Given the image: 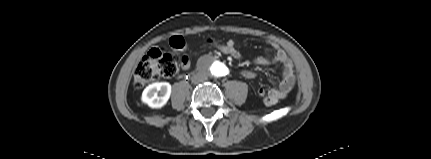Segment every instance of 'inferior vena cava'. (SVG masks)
I'll use <instances>...</instances> for the list:
<instances>
[{"label": "inferior vena cava", "mask_w": 431, "mask_h": 159, "mask_svg": "<svg viewBox=\"0 0 431 159\" xmlns=\"http://www.w3.org/2000/svg\"><path fill=\"white\" fill-rule=\"evenodd\" d=\"M206 79H207V76L201 73H196L191 78L193 83H201V82H204Z\"/></svg>", "instance_id": "obj_1"}]
</instances>
